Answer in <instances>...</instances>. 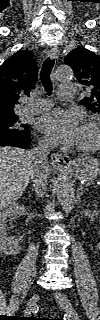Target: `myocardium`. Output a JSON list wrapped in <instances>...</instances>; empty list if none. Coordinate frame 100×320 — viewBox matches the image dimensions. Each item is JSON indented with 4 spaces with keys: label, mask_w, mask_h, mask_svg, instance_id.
I'll return each mask as SVG.
<instances>
[{
    "label": "myocardium",
    "mask_w": 100,
    "mask_h": 320,
    "mask_svg": "<svg viewBox=\"0 0 100 320\" xmlns=\"http://www.w3.org/2000/svg\"><path fill=\"white\" fill-rule=\"evenodd\" d=\"M84 124L92 130L93 138L87 144L78 145L77 150L81 152H91L97 149L100 145V127L99 123L93 118L86 119Z\"/></svg>",
    "instance_id": "f54148a6"
}]
</instances>
